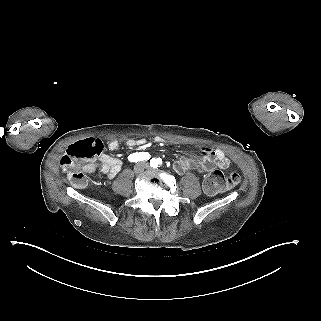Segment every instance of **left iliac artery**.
Wrapping results in <instances>:
<instances>
[{
    "instance_id": "left-iliac-artery-1",
    "label": "left iliac artery",
    "mask_w": 321,
    "mask_h": 321,
    "mask_svg": "<svg viewBox=\"0 0 321 321\" xmlns=\"http://www.w3.org/2000/svg\"><path fill=\"white\" fill-rule=\"evenodd\" d=\"M162 163V159L158 158V159H151L150 160V166L157 168L160 164Z\"/></svg>"
}]
</instances>
